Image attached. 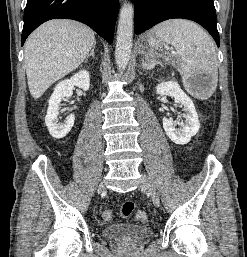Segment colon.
I'll list each match as a JSON object with an SVG mask.
<instances>
[{
	"mask_svg": "<svg viewBox=\"0 0 247 257\" xmlns=\"http://www.w3.org/2000/svg\"><path fill=\"white\" fill-rule=\"evenodd\" d=\"M135 211V204L132 201H125L120 209V214L123 218H130ZM103 218L106 221H110L113 218V212L109 209L103 212ZM147 214L144 211H140L136 214V219L140 222L147 221Z\"/></svg>",
	"mask_w": 247,
	"mask_h": 257,
	"instance_id": "obj_1",
	"label": "colon"
}]
</instances>
